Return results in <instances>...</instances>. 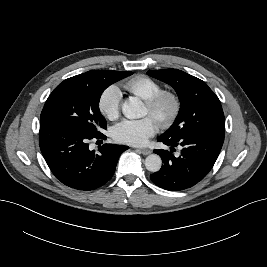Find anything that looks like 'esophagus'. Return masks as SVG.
<instances>
[{"label": "esophagus", "instance_id": "obj_1", "mask_svg": "<svg viewBox=\"0 0 267 267\" xmlns=\"http://www.w3.org/2000/svg\"><path fill=\"white\" fill-rule=\"evenodd\" d=\"M137 151H139L140 153H142L143 155H148L151 153L150 149H137Z\"/></svg>", "mask_w": 267, "mask_h": 267}]
</instances>
